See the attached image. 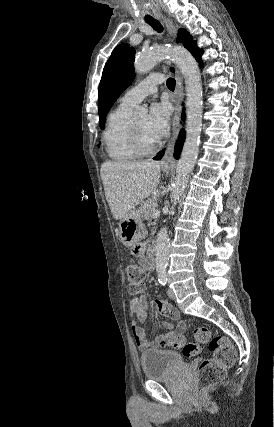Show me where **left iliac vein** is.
<instances>
[{"label": "left iliac vein", "instance_id": "left-iliac-vein-1", "mask_svg": "<svg viewBox=\"0 0 274 427\" xmlns=\"http://www.w3.org/2000/svg\"><path fill=\"white\" fill-rule=\"evenodd\" d=\"M168 296L170 299H173V300L176 299L175 294L171 288L168 289Z\"/></svg>", "mask_w": 274, "mask_h": 427}]
</instances>
